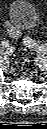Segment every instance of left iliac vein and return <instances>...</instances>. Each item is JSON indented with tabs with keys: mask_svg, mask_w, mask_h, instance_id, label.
Wrapping results in <instances>:
<instances>
[{
	"mask_svg": "<svg viewBox=\"0 0 47 129\" xmlns=\"http://www.w3.org/2000/svg\"><path fill=\"white\" fill-rule=\"evenodd\" d=\"M37 53H38V55H39L40 57H42V58H45V56H46V52H45V51L37 50Z\"/></svg>",
	"mask_w": 47,
	"mask_h": 129,
	"instance_id": "1",
	"label": "left iliac vein"
}]
</instances>
